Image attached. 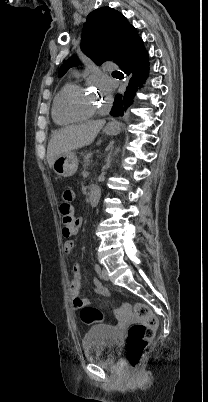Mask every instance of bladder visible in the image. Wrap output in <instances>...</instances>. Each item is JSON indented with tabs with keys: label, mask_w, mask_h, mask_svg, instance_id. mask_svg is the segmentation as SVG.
I'll return each instance as SVG.
<instances>
[{
	"label": "bladder",
	"mask_w": 208,
	"mask_h": 402,
	"mask_svg": "<svg viewBox=\"0 0 208 402\" xmlns=\"http://www.w3.org/2000/svg\"><path fill=\"white\" fill-rule=\"evenodd\" d=\"M121 337L115 327L96 324L89 328L83 342L84 357L101 366L115 362Z\"/></svg>",
	"instance_id": "31cf9c89"
}]
</instances>
